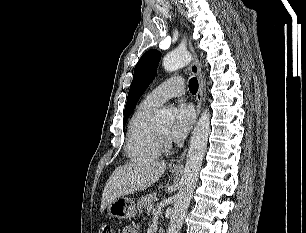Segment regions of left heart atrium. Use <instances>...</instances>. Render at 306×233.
Returning a JSON list of instances; mask_svg holds the SVG:
<instances>
[{"instance_id": "1", "label": "left heart atrium", "mask_w": 306, "mask_h": 233, "mask_svg": "<svg viewBox=\"0 0 306 233\" xmlns=\"http://www.w3.org/2000/svg\"><path fill=\"white\" fill-rule=\"evenodd\" d=\"M194 118L193 108L184 102H179L174 108V120L169 129L168 137L172 141L183 140L190 131Z\"/></svg>"}]
</instances>
